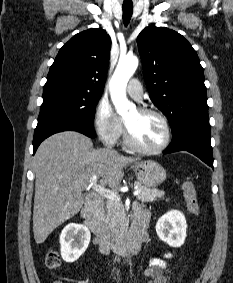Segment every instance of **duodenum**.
Masks as SVG:
<instances>
[{"mask_svg":"<svg viewBox=\"0 0 233 283\" xmlns=\"http://www.w3.org/2000/svg\"><path fill=\"white\" fill-rule=\"evenodd\" d=\"M101 199L96 195H90L81 211V217L87 226L97 237L101 249L108 252L113 249L117 253L128 256L140 251L142 243L146 239V223L138 221L133 223L125 239L116 238L98 218L97 211Z\"/></svg>","mask_w":233,"mask_h":283,"instance_id":"duodenum-1","label":"duodenum"}]
</instances>
